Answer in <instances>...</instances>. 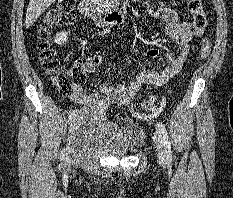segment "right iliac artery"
<instances>
[{
	"instance_id": "1",
	"label": "right iliac artery",
	"mask_w": 233,
	"mask_h": 198,
	"mask_svg": "<svg viewBox=\"0 0 233 198\" xmlns=\"http://www.w3.org/2000/svg\"><path fill=\"white\" fill-rule=\"evenodd\" d=\"M74 116H75V111L70 112V114H69V121H72V119L74 118ZM64 156H65V154H64V151L62 150L61 154H60V159L64 160Z\"/></svg>"
}]
</instances>
